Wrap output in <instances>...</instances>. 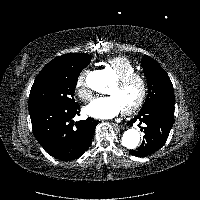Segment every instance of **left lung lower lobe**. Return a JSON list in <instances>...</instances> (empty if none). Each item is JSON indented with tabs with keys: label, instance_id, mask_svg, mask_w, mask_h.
<instances>
[{
	"label": "left lung lower lobe",
	"instance_id": "0a47b994",
	"mask_svg": "<svg viewBox=\"0 0 200 200\" xmlns=\"http://www.w3.org/2000/svg\"><path fill=\"white\" fill-rule=\"evenodd\" d=\"M139 119L145 123V139L137 150L130 153L134 156H148L159 150L165 144L174 123V104L154 103L147 105L139 114L128 122L132 125Z\"/></svg>",
	"mask_w": 200,
	"mask_h": 200
}]
</instances>
